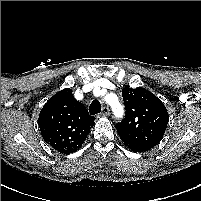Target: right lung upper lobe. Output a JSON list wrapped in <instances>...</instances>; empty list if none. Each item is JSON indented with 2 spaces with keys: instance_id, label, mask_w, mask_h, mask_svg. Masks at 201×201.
Instances as JSON below:
<instances>
[{
  "instance_id": "right-lung-upper-lobe-1",
  "label": "right lung upper lobe",
  "mask_w": 201,
  "mask_h": 201,
  "mask_svg": "<svg viewBox=\"0 0 201 201\" xmlns=\"http://www.w3.org/2000/svg\"><path fill=\"white\" fill-rule=\"evenodd\" d=\"M94 117L65 88L52 96L43 106L38 125L44 140L62 154L77 151L84 143Z\"/></svg>"
}]
</instances>
